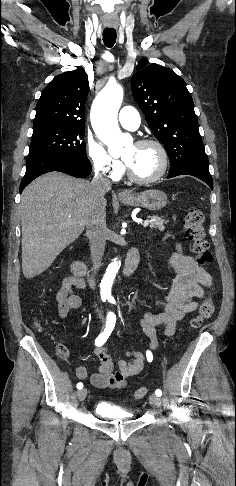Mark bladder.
Segmentation results:
<instances>
[{
    "mask_svg": "<svg viewBox=\"0 0 236 486\" xmlns=\"http://www.w3.org/2000/svg\"><path fill=\"white\" fill-rule=\"evenodd\" d=\"M95 412L101 417L117 420H130L133 414L108 402H100L95 407Z\"/></svg>",
    "mask_w": 236,
    "mask_h": 486,
    "instance_id": "1",
    "label": "bladder"
}]
</instances>
